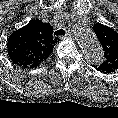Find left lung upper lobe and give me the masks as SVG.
Returning <instances> with one entry per match:
<instances>
[{
    "label": "left lung upper lobe",
    "instance_id": "left-lung-upper-lobe-1",
    "mask_svg": "<svg viewBox=\"0 0 118 118\" xmlns=\"http://www.w3.org/2000/svg\"><path fill=\"white\" fill-rule=\"evenodd\" d=\"M94 32L102 44L104 51V61L94 66L103 73H111L118 69V33L108 26L96 23Z\"/></svg>",
    "mask_w": 118,
    "mask_h": 118
}]
</instances>
